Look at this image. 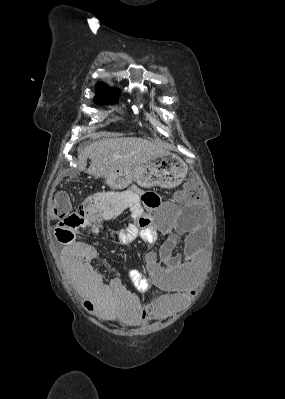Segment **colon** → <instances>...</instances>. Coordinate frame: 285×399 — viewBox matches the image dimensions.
Wrapping results in <instances>:
<instances>
[{
	"label": "colon",
	"mask_w": 285,
	"mask_h": 399,
	"mask_svg": "<svg viewBox=\"0 0 285 399\" xmlns=\"http://www.w3.org/2000/svg\"><path fill=\"white\" fill-rule=\"evenodd\" d=\"M200 183L196 178L189 179L183 186L185 193H191L198 189ZM142 202L149 208L157 207L160 203L159 197L155 193H147L142 197ZM70 196L66 190H60L57 192L49 202V208L51 216L54 220H62L63 224H80L83 219L76 213H70ZM146 219L143 216L135 218L127 227L113 233V238L123 241L124 243H132L142 233V230L146 224ZM60 239L63 242H78L77 236L72 230L59 232Z\"/></svg>",
	"instance_id": "obj_1"
}]
</instances>
